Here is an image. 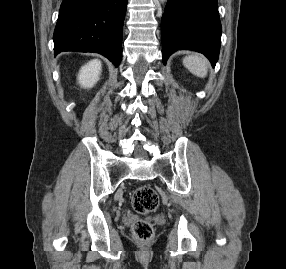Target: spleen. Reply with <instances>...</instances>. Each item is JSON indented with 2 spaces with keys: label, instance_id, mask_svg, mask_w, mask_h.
I'll return each mask as SVG.
<instances>
[{
  "label": "spleen",
  "instance_id": "3e777b00",
  "mask_svg": "<svg viewBox=\"0 0 286 269\" xmlns=\"http://www.w3.org/2000/svg\"><path fill=\"white\" fill-rule=\"evenodd\" d=\"M207 59L199 54H193L183 59V65L194 75L205 78L208 68Z\"/></svg>",
  "mask_w": 286,
  "mask_h": 269
}]
</instances>
